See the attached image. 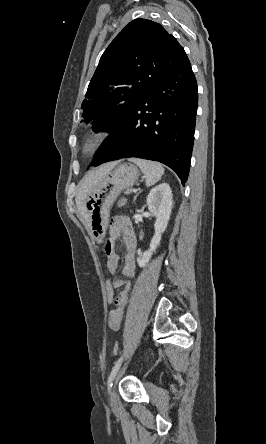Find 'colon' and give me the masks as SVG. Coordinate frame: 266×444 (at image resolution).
Instances as JSON below:
<instances>
[{
    "label": "colon",
    "mask_w": 266,
    "mask_h": 444,
    "mask_svg": "<svg viewBox=\"0 0 266 444\" xmlns=\"http://www.w3.org/2000/svg\"><path fill=\"white\" fill-rule=\"evenodd\" d=\"M115 285H114V278H108L106 280L105 283V294H106V299L108 303H113L115 302ZM120 350V347L118 345V343H115L113 345V353L117 354Z\"/></svg>",
    "instance_id": "colon-1"
}]
</instances>
